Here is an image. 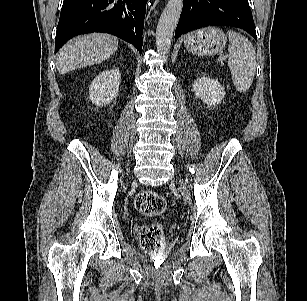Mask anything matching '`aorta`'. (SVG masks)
Wrapping results in <instances>:
<instances>
[{
    "label": "aorta",
    "instance_id": "aorta-1",
    "mask_svg": "<svg viewBox=\"0 0 307 301\" xmlns=\"http://www.w3.org/2000/svg\"><path fill=\"white\" fill-rule=\"evenodd\" d=\"M183 0H169L163 10L156 29V47L161 54H167L171 47L174 30L180 18Z\"/></svg>",
    "mask_w": 307,
    "mask_h": 301
}]
</instances>
